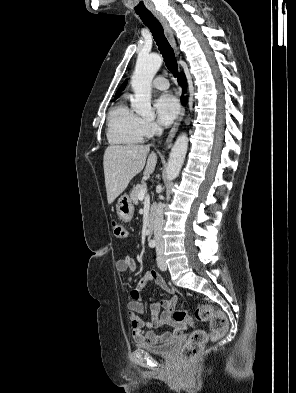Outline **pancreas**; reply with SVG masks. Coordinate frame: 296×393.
<instances>
[{"label":"pancreas","instance_id":"cf45deb5","mask_svg":"<svg viewBox=\"0 0 296 393\" xmlns=\"http://www.w3.org/2000/svg\"><path fill=\"white\" fill-rule=\"evenodd\" d=\"M146 185L145 184H138V185H136V187H134V189L132 190V192L130 193V198H131V201L134 203V204H138V202H139V199H138V194L140 193V191L145 187Z\"/></svg>","mask_w":296,"mask_h":393}]
</instances>
